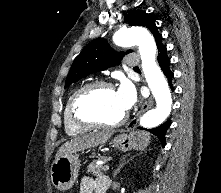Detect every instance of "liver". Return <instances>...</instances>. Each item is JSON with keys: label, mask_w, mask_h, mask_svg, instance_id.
Masks as SVG:
<instances>
[{"label": "liver", "mask_w": 221, "mask_h": 193, "mask_svg": "<svg viewBox=\"0 0 221 193\" xmlns=\"http://www.w3.org/2000/svg\"><path fill=\"white\" fill-rule=\"evenodd\" d=\"M112 132L102 131V132H93L83 136L75 137L67 142H65L58 150L55 160H58L60 157L73 154L78 151H83L87 148H94L99 145H103L111 137Z\"/></svg>", "instance_id": "1"}]
</instances>
